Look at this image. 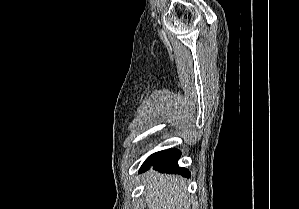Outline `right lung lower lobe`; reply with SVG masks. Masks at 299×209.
<instances>
[{
    "label": "right lung lower lobe",
    "instance_id": "obj_1",
    "mask_svg": "<svg viewBox=\"0 0 299 209\" xmlns=\"http://www.w3.org/2000/svg\"><path fill=\"white\" fill-rule=\"evenodd\" d=\"M180 156L181 153L177 149H168L156 152L145 160L139 172H144L148 170L150 166H153L155 170H158L162 173L179 174L183 177H189V170L186 168H181L177 164Z\"/></svg>",
    "mask_w": 299,
    "mask_h": 209
}]
</instances>
